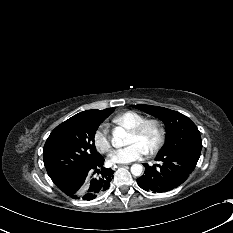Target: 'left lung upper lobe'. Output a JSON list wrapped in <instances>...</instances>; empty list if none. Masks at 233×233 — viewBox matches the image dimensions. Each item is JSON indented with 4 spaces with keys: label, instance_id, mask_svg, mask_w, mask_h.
Returning <instances> with one entry per match:
<instances>
[{
    "label": "left lung upper lobe",
    "instance_id": "left-lung-upper-lobe-1",
    "mask_svg": "<svg viewBox=\"0 0 233 233\" xmlns=\"http://www.w3.org/2000/svg\"><path fill=\"white\" fill-rule=\"evenodd\" d=\"M164 122L167 128L166 141L160 152H179L196 158L200 157L202 140L196 125L187 116L164 107L132 105Z\"/></svg>",
    "mask_w": 233,
    "mask_h": 233
}]
</instances>
